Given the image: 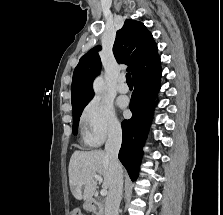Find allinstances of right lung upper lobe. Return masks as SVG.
I'll list each match as a JSON object with an SVG mask.
<instances>
[{
  "label": "right lung upper lobe",
  "mask_w": 223,
  "mask_h": 215,
  "mask_svg": "<svg viewBox=\"0 0 223 215\" xmlns=\"http://www.w3.org/2000/svg\"><path fill=\"white\" fill-rule=\"evenodd\" d=\"M100 49V46H96L82 56L74 70L72 108L87 104L94 96L92 83L101 69ZM113 53L117 62L129 66L133 81L160 68V57L152 34L143 23L135 20H126L117 31Z\"/></svg>",
  "instance_id": "right-lung-upper-lobe-1"
}]
</instances>
